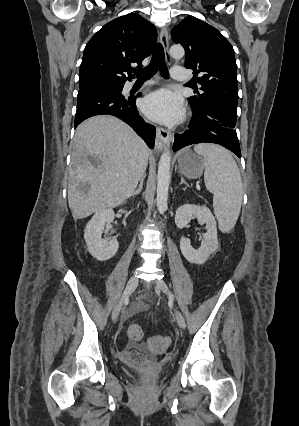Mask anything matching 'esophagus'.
<instances>
[{"label": "esophagus", "mask_w": 299, "mask_h": 426, "mask_svg": "<svg viewBox=\"0 0 299 426\" xmlns=\"http://www.w3.org/2000/svg\"><path fill=\"white\" fill-rule=\"evenodd\" d=\"M159 39L160 42L164 48L165 51V56H166V60L169 62L170 61V55H169V36H168V30L166 27H163L160 30V34H159ZM172 139V134L158 126L156 128V147L160 150L164 149L166 146L169 145L170 141Z\"/></svg>", "instance_id": "obj_1"}]
</instances>
